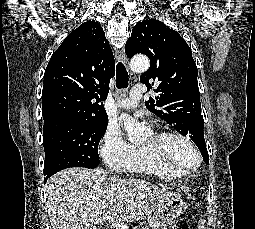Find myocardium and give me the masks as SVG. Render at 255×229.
<instances>
[{"label":"myocardium","mask_w":255,"mask_h":229,"mask_svg":"<svg viewBox=\"0 0 255 229\" xmlns=\"http://www.w3.org/2000/svg\"><path fill=\"white\" fill-rule=\"evenodd\" d=\"M154 140L156 143H159L160 141L167 139V138H176L183 142H185L188 146L191 147V149L195 152L197 156V162L193 166L188 167H181L177 168L168 163L159 153L158 149L155 146H142L150 156L155 158L161 165H163L166 169H168L170 172L174 174H189L195 170H197L201 164H202V154L199 150V148L196 146V144L186 135L181 134L179 132L175 131H162L157 132L153 134Z\"/></svg>","instance_id":"myocardium-1"}]
</instances>
